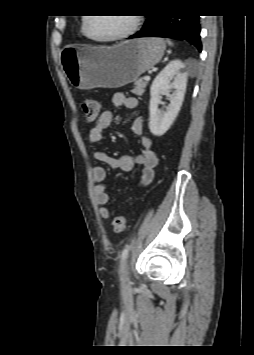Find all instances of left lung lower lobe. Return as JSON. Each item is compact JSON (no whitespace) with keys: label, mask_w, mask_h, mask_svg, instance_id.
<instances>
[{"label":"left lung lower lobe","mask_w":254,"mask_h":355,"mask_svg":"<svg viewBox=\"0 0 254 355\" xmlns=\"http://www.w3.org/2000/svg\"><path fill=\"white\" fill-rule=\"evenodd\" d=\"M147 17L142 30L130 36L129 39L148 36L183 38L201 51L199 16L148 15Z\"/></svg>","instance_id":"1"}]
</instances>
